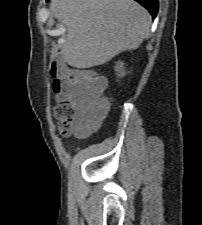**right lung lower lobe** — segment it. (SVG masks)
I'll list each match as a JSON object with an SVG mask.
<instances>
[{
	"label": "right lung lower lobe",
	"instance_id": "obj_1",
	"mask_svg": "<svg viewBox=\"0 0 202 225\" xmlns=\"http://www.w3.org/2000/svg\"><path fill=\"white\" fill-rule=\"evenodd\" d=\"M135 1L144 6L151 13L153 18L156 17L158 11V0H135Z\"/></svg>",
	"mask_w": 202,
	"mask_h": 225
}]
</instances>
